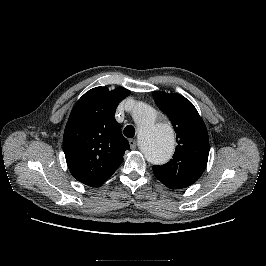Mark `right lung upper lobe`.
Masks as SVG:
<instances>
[{"instance_id": "obj_1", "label": "right lung upper lobe", "mask_w": 266, "mask_h": 266, "mask_svg": "<svg viewBox=\"0 0 266 266\" xmlns=\"http://www.w3.org/2000/svg\"><path fill=\"white\" fill-rule=\"evenodd\" d=\"M130 91L96 87L75 104L63 136L68 168L81 183L97 187L120 166L130 145L114 119L116 107Z\"/></svg>"}]
</instances>
